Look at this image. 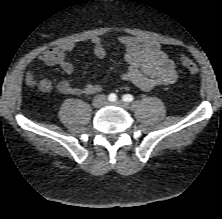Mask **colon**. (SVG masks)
Segmentation results:
<instances>
[{"mask_svg":"<svg viewBox=\"0 0 222 219\" xmlns=\"http://www.w3.org/2000/svg\"><path fill=\"white\" fill-rule=\"evenodd\" d=\"M180 61V65L186 70L188 71L190 74L196 75L199 73L200 69L198 67V65L193 62L190 58H188L187 56H180L179 58ZM37 80V74L34 71H31L28 75H27V81L29 84L34 85L36 83Z\"/></svg>","mask_w":222,"mask_h":219,"instance_id":"1","label":"colon"}]
</instances>
